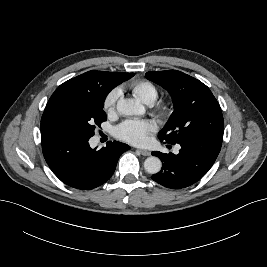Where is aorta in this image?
I'll use <instances>...</instances> for the list:
<instances>
[{"label": "aorta", "mask_w": 267, "mask_h": 267, "mask_svg": "<svg viewBox=\"0 0 267 267\" xmlns=\"http://www.w3.org/2000/svg\"><path fill=\"white\" fill-rule=\"evenodd\" d=\"M117 110L125 116L143 115L145 113L144 106L134 99L120 98L117 102ZM161 167V160L155 156L148 157L144 162V168L150 174L158 173Z\"/></svg>", "instance_id": "1"}]
</instances>
